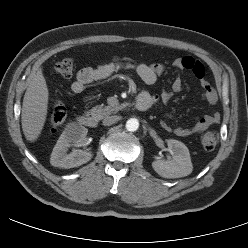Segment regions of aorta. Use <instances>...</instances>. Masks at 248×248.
<instances>
[{
    "label": "aorta",
    "mask_w": 248,
    "mask_h": 248,
    "mask_svg": "<svg viewBox=\"0 0 248 248\" xmlns=\"http://www.w3.org/2000/svg\"><path fill=\"white\" fill-rule=\"evenodd\" d=\"M139 128V121L136 118H130L126 122V129L128 131L134 132Z\"/></svg>",
    "instance_id": "1"
}]
</instances>
